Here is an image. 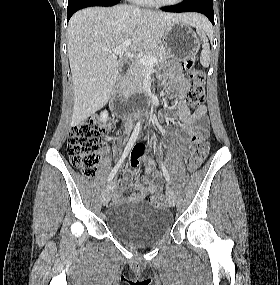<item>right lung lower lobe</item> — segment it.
Wrapping results in <instances>:
<instances>
[{
    "mask_svg": "<svg viewBox=\"0 0 280 285\" xmlns=\"http://www.w3.org/2000/svg\"><path fill=\"white\" fill-rule=\"evenodd\" d=\"M120 0H68L67 14L68 20L76 11L90 6H113Z\"/></svg>",
    "mask_w": 280,
    "mask_h": 285,
    "instance_id": "obj_1",
    "label": "right lung lower lobe"
}]
</instances>
